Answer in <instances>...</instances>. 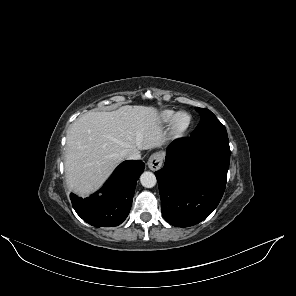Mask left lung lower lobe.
Masks as SVG:
<instances>
[{
  "label": "left lung lower lobe",
  "mask_w": 296,
  "mask_h": 296,
  "mask_svg": "<svg viewBox=\"0 0 296 296\" xmlns=\"http://www.w3.org/2000/svg\"><path fill=\"white\" fill-rule=\"evenodd\" d=\"M229 162L227 133L172 142L164 167L155 172L165 220L188 227L207 218L223 196Z\"/></svg>",
  "instance_id": "obj_1"
}]
</instances>
